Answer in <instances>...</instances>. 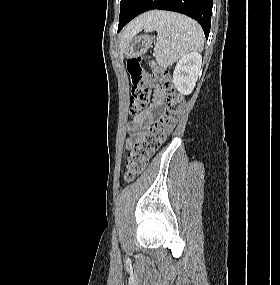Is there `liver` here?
Wrapping results in <instances>:
<instances>
[{"label":"liver","instance_id":"6515ba94","mask_svg":"<svg viewBox=\"0 0 280 285\" xmlns=\"http://www.w3.org/2000/svg\"><path fill=\"white\" fill-rule=\"evenodd\" d=\"M155 12H150L143 14L136 19H134L129 25L125 28L121 36V43L125 44L129 39L135 36L143 27L148 23V21L154 16Z\"/></svg>","mask_w":280,"mask_h":285}]
</instances>
